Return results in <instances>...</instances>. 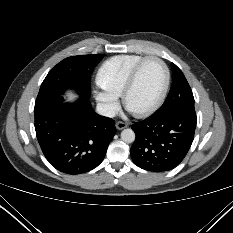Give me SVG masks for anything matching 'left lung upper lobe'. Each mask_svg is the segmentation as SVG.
<instances>
[{"mask_svg": "<svg viewBox=\"0 0 233 233\" xmlns=\"http://www.w3.org/2000/svg\"><path fill=\"white\" fill-rule=\"evenodd\" d=\"M172 72L173 83L169 95L160 109L153 114L154 116L182 108L194 109L193 93L184 74L174 63H172Z\"/></svg>", "mask_w": 233, "mask_h": 233, "instance_id": "obj_1", "label": "left lung upper lobe"}]
</instances>
